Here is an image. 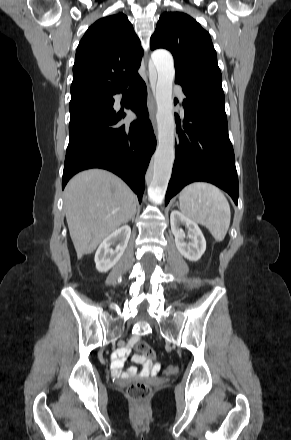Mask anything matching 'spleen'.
<instances>
[{"label":"spleen","mask_w":291,"mask_h":440,"mask_svg":"<svg viewBox=\"0 0 291 440\" xmlns=\"http://www.w3.org/2000/svg\"><path fill=\"white\" fill-rule=\"evenodd\" d=\"M179 203L185 216L205 226L216 241L224 240L231 212L220 189L206 182L192 183L181 191Z\"/></svg>","instance_id":"spleen-1"}]
</instances>
